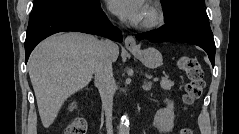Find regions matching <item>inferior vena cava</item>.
<instances>
[{
    "label": "inferior vena cava",
    "mask_w": 239,
    "mask_h": 134,
    "mask_svg": "<svg viewBox=\"0 0 239 134\" xmlns=\"http://www.w3.org/2000/svg\"><path fill=\"white\" fill-rule=\"evenodd\" d=\"M112 42L101 40L100 48L94 53V74L95 83L99 89L102 108L106 117L107 134H113L112 110L113 97L115 93V81L112 71V58L110 48Z\"/></svg>",
    "instance_id": "602c4592"
}]
</instances>
